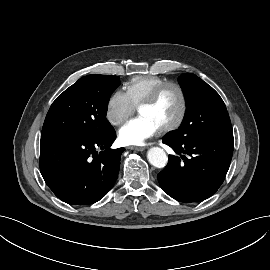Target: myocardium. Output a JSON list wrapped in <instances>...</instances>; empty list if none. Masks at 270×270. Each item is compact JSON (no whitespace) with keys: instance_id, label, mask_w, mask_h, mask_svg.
<instances>
[{"instance_id":"myocardium-1","label":"myocardium","mask_w":270,"mask_h":270,"mask_svg":"<svg viewBox=\"0 0 270 270\" xmlns=\"http://www.w3.org/2000/svg\"><path fill=\"white\" fill-rule=\"evenodd\" d=\"M173 87L177 90L179 97H180V110L177 118L169 125H166L160 129L162 133H168L172 132L174 130H177L180 128V126L183 124L188 110V101L187 96L184 88L181 84L174 82V81H166L160 85H158L148 96L147 98L139 105V108L143 106H151L153 105L160 95L163 93V91L166 88Z\"/></svg>"}]
</instances>
